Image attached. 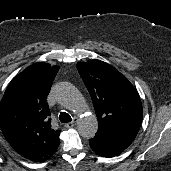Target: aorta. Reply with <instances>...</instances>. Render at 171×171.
<instances>
[{
  "mask_svg": "<svg viewBox=\"0 0 171 171\" xmlns=\"http://www.w3.org/2000/svg\"><path fill=\"white\" fill-rule=\"evenodd\" d=\"M57 101L78 116L77 128L84 138H93L98 129V121L94 114L89 112V106L70 83H60L56 90Z\"/></svg>",
  "mask_w": 171,
  "mask_h": 171,
  "instance_id": "762f6f07",
  "label": "aorta"
}]
</instances>
